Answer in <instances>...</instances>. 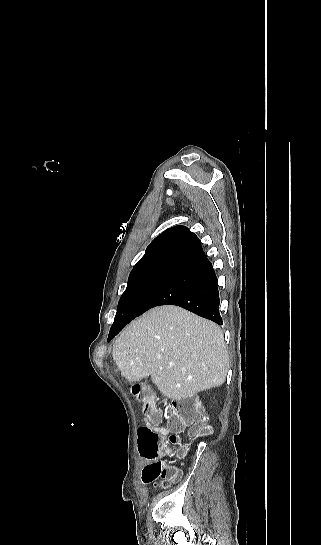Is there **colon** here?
<instances>
[{
	"label": "colon",
	"instance_id": "obj_1",
	"mask_svg": "<svg viewBox=\"0 0 321 545\" xmlns=\"http://www.w3.org/2000/svg\"><path fill=\"white\" fill-rule=\"evenodd\" d=\"M131 391L142 405L146 419L152 423H158L162 413L157 408L154 391L150 387L140 383L134 384ZM170 418V427L175 433L185 427H189V433L193 437L208 434L211 431V427L201 415L197 404L189 400H180L174 403L170 410ZM169 440L172 444L178 446L175 455L179 457L183 456L186 452V447L180 443L178 436L172 434ZM138 441L140 452L144 457L150 460L157 459L160 436L150 426L144 425L138 429ZM157 479H160L159 483L161 487H166L170 483L177 481L178 472L175 467L160 464L159 470L151 476V481Z\"/></svg>",
	"mask_w": 321,
	"mask_h": 545
}]
</instances>
